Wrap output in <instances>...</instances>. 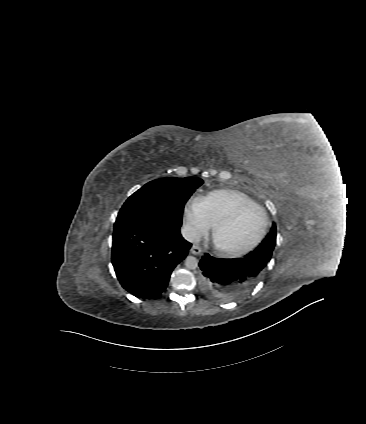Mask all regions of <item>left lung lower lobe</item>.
<instances>
[{
	"label": "left lung lower lobe",
	"instance_id": "0a47b994",
	"mask_svg": "<svg viewBox=\"0 0 366 424\" xmlns=\"http://www.w3.org/2000/svg\"><path fill=\"white\" fill-rule=\"evenodd\" d=\"M268 262L251 253L242 258L218 259L205 254L199 262L200 284L210 297L220 301L233 300L255 285Z\"/></svg>",
	"mask_w": 366,
	"mask_h": 424
}]
</instances>
